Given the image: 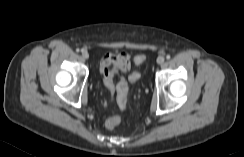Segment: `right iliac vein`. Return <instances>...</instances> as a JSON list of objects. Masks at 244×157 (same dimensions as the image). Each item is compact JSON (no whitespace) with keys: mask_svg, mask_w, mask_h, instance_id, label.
Instances as JSON below:
<instances>
[{"mask_svg":"<svg viewBox=\"0 0 244 157\" xmlns=\"http://www.w3.org/2000/svg\"><path fill=\"white\" fill-rule=\"evenodd\" d=\"M82 58H83V59H88V58H89V54H88V52L83 51V52H82Z\"/></svg>","mask_w":244,"mask_h":157,"instance_id":"63e3f726","label":"right iliac vein"}]
</instances>
